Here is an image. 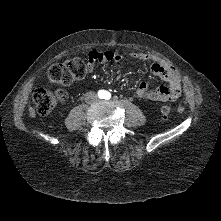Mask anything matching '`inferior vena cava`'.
I'll return each mask as SVG.
<instances>
[{"mask_svg":"<svg viewBox=\"0 0 221 221\" xmlns=\"http://www.w3.org/2000/svg\"><path fill=\"white\" fill-rule=\"evenodd\" d=\"M98 99V97H97V95L94 93V92H88V93H86V97H85V100L87 101V102H94V101H96Z\"/></svg>","mask_w":221,"mask_h":221,"instance_id":"obj_1","label":"inferior vena cava"}]
</instances>
